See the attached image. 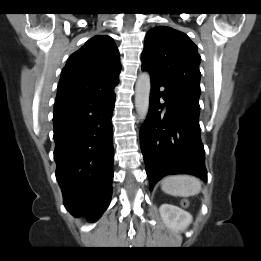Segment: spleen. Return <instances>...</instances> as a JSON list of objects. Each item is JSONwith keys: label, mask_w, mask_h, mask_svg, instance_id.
<instances>
[{"label": "spleen", "mask_w": 261, "mask_h": 261, "mask_svg": "<svg viewBox=\"0 0 261 261\" xmlns=\"http://www.w3.org/2000/svg\"><path fill=\"white\" fill-rule=\"evenodd\" d=\"M202 182L190 175H171L162 180L161 189L172 196L189 197L201 191Z\"/></svg>", "instance_id": "1"}]
</instances>
